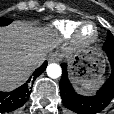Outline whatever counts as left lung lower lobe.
Masks as SVG:
<instances>
[{
	"label": "left lung lower lobe",
	"instance_id": "left-lung-lower-lobe-1",
	"mask_svg": "<svg viewBox=\"0 0 114 114\" xmlns=\"http://www.w3.org/2000/svg\"><path fill=\"white\" fill-rule=\"evenodd\" d=\"M111 63L112 73L95 96L83 97L73 90L67 76V65L61 64L63 69L59 88L62 103L68 109L79 114H95L103 110L114 97V47H104Z\"/></svg>",
	"mask_w": 114,
	"mask_h": 114
}]
</instances>
